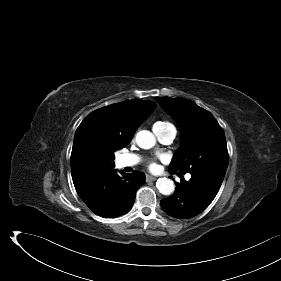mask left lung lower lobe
I'll use <instances>...</instances> for the list:
<instances>
[{"label":"left lung lower lobe","mask_w":281,"mask_h":281,"mask_svg":"<svg viewBox=\"0 0 281 281\" xmlns=\"http://www.w3.org/2000/svg\"><path fill=\"white\" fill-rule=\"evenodd\" d=\"M175 173V171H171ZM225 174L205 172L191 174V179L181 180L172 196L161 200L162 209L171 217L190 219L204 211L217 195Z\"/></svg>","instance_id":"left-lung-lower-lobe-1"}]
</instances>
